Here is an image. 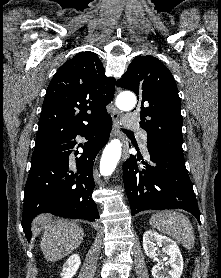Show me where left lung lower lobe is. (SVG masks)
I'll list each match as a JSON object with an SVG mask.
<instances>
[{
    "mask_svg": "<svg viewBox=\"0 0 221 278\" xmlns=\"http://www.w3.org/2000/svg\"><path fill=\"white\" fill-rule=\"evenodd\" d=\"M151 163L138 167L131 156L123 167L124 187L132 215L144 210L184 209L200 222V212L188 176L182 143L168 140L148 142Z\"/></svg>",
    "mask_w": 221,
    "mask_h": 278,
    "instance_id": "0a47b994",
    "label": "left lung lower lobe"
}]
</instances>
